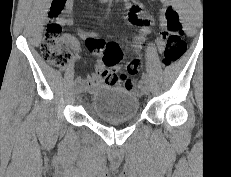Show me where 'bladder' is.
Segmentation results:
<instances>
[{"instance_id":"obj_1","label":"bladder","mask_w":231,"mask_h":177,"mask_svg":"<svg viewBox=\"0 0 231 177\" xmlns=\"http://www.w3.org/2000/svg\"><path fill=\"white\" fill-rule=\"evenodd\" d=\"M90 107L92 113L101 120L126 121L138 115L139 100L133 92L125 88L105 85L93 93Z\"/></svg>"}]
</instances>
